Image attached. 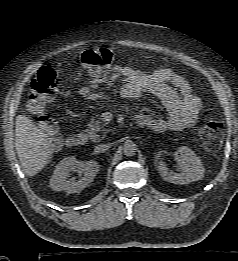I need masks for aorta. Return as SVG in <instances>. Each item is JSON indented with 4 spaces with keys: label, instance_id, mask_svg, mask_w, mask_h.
Masks as SVG:
<instances>
[{
    "label": "aorta",
    "instance_id": "1",
    "mask_svg": "<svg viewBox=\"0 0 238 261\" xmlns=\"http://www.w3.org/2000/svg\"><path fill=\"white\" fill-rule=\"evenodd\" d=\"M136 152H137V146L133 141L129 140L124 143L123 153L125 156L132 157L136 154Z\"/></svg>",
    "mask_w": 238,
    "mask_h": 261
}]
</instances>
